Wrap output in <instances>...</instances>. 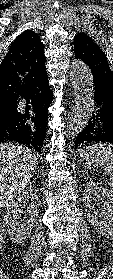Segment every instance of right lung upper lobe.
Returning a JSON list of instances; mask_svg holds the SVG:
<instances>
[{
	"label": "right lung upper lobe",
	"instance_id": "obj_1",
	"mask_svg": "<svg viewBox=\"0 0 113 279\" xmlns=\"http://www.w3.org/2000/svg\"><path fill=\"white\" fill-rule=\"evenodd\" d=\"M46 74L40 37L32 30L21 33L0 65V110L13 107Z\"/></svg>",
	"mask_w": 113,
	"mask_h": 279
}]
</instances>
